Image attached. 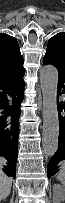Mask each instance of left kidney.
I'll return each mask as SVG.
<instances>
[{
    "instance_id": "obj_1",
    "label": "left kidney",
    "mask_w": 65,
    "mask_h": 203,
    "mask_svg": "<svg viewBox=\"0 0 65 203\" xmlns=\"http://www.w3.org/2000/svg\"><path fill=\"white\" fill-rule=\"evenodd\" d=\"M65 202V188L59 184L53 186V203Z\"/></svg>"
}]
</instances>
